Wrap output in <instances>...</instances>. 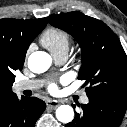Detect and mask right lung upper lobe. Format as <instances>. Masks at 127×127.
Listing matches in <instances>:
<instances>
[{"label":"right lung upper lobe","instance_id":"obj_1","mask_svg":"<svg viewBox=\"0 0 127 127\" xmlns=\"http://www.w3.org/2000/svg\"><path fill=\"white\" fill-rule=\"evenodd\" d=\"M47 20L0 19V105L16 96L12 91L14 71L22 69L29 45Z\"/></svg>","mask_w":127,"mask_h":127}]
</instances>
